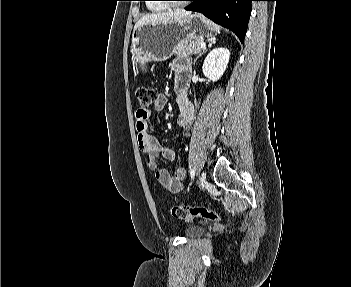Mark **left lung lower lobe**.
Wrapping results in <instances>:
<instances>
[{"label":"left lung lower lobe","mask_w":351,"mask_h":287,"mask_svg":"<svg viewBox=\"0 0 351 287\" xmlns=\"http://www.w3.org/2000/svg\"><path fill=\"white\" fill-rule=\"evenodd\" d=\"M193 4L186 10L203 13L213 22L232 30L244 40L254 0H190Z\"/></svg>","instance_id":"left-lung-lower-lobe-1"}]
</instances>
